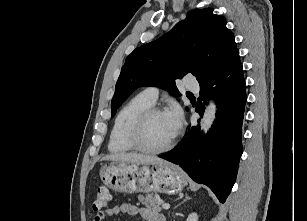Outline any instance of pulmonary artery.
<instances>
[{"label": "pulmonary artery", "mask_w": 307, "mask_h": 221, "mask_svg": "<svg viewBox=\"0 0 307 221\" xmlns=\"http://www.w3.org/2000/svg\"><path fill=\"white\" fill-rule=\"evenodd\" d=\"M186 87L193 91L199 90V84L196 81L188 79L185 83ZM142 94L152 103H155L158 98V89L155 87H148L143 90Z\"/></svg>", "instance_id": "e3ab8cb5"}]
</instances>
